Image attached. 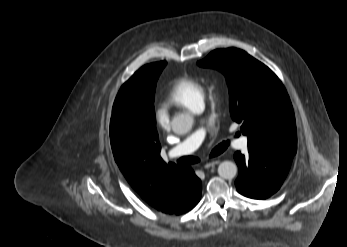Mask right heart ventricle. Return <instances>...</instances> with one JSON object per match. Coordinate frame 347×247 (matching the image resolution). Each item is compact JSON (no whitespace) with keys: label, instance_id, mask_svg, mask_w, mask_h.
<instances>
[{"label":"right heart ventricle","instance_id":"obj_1","mask_svg":"<svg viewBox=\"0 0 347 247\" xmlns=\"http://www.w3.org/2000/svg\"><path fill=\"white\" fill-rule=\"evenodd\" d=\"M204 97L205 89L201 82L182 76L173 80L169 86L165 103L194 111L198 104L203 103Z\"/></svg>","mask_w":347,"mask_h":247}]
</instances>
